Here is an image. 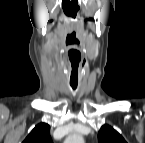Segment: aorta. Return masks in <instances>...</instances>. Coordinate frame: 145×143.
Masks as SVG:
<instances>
[{
	"label": "aorta",
	"instance_id": "aorta-1",
	"mask_svg": "<svg viewBox=\"0 0 145 143\" xmlns=\"http://www.w3.org/2000/svg\"><path fill=\"white\" fill-rule=\"evenodd\" d=\"M83 138L80 135L73 134L66 138L65 143H82Z\"/></svg>",
	"mask_w": 145,
	"mask_h": 143
}]
</instances>
